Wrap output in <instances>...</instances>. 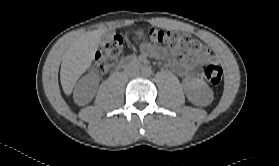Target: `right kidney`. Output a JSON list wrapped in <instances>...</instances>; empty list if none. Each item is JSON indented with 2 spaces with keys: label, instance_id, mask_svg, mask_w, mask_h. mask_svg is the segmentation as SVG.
Here are the masks:
<instances>
[{
  "label": "right kidney",
  "instance_id": "obj_1",
  "mask_svg": "<svg viewBox=\"0 0 279 166\" xmlns=\"http://www.w3.org/2000/svg\"><path fill=\"white\" fill-rule=\"evenodd\" d=\"M97 85L98 80H96L93 76L83 77L79 80L75 87V101L80 105L89 102L95 95Z\"/></svg>",
  "mask_w": 279,
  "mask_h": 166
}]
</instances>
